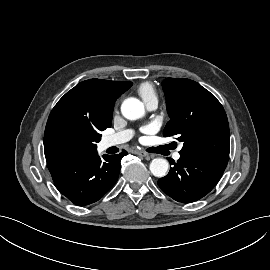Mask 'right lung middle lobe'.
<instances>
[{"label": "right lung middle lobe", "mask_w": 270, "mask_h": 270, "mask_svg": "<svg viewBox=\"0 0 270 270\" xmlns=\"http://www.w3.org/2000/svg\"><path fill=\"white\" fill-rule=\"evenodd\" d=\"M91 126L65 122L58 125L50 138L51 148L58 156H79L96 151L99 131Z\"/></svg>", "instance_id": "dd1d6c3e"}]
</instances>
